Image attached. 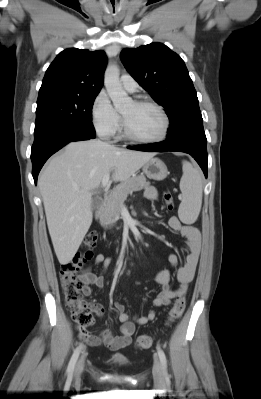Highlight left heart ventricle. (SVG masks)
<instances>
[{
  "instance_id": "b2bd125f",
  "label": "left heart ventricle",
  "mask_w": 261,
  "mask_h": 399,
  "mask_svg": "<svg viewBox=\"0 0 261 399\" xmlns=\"http://www.w3.org/2000/svg\"><path fill=\"white\" fill-rule=\"evenodd\" d=\"M130 130L142 138H154L163 130V119L160 113L151 106L130 102L122 111Z\"/></svg>"
}]
</instances>
